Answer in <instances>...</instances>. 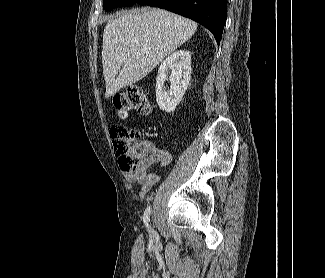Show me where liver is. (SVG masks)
Segmentation results:
<instances>
[{
	"label": "liver",
	"instance_id": "liver-1",
	"mask_svg": "<svg viewBox=\"0 0 325 278\" xmlns=\"http://www.w3.org/2000/svg\"><path fill=\"white\" fill-rule=\"evenodd\" d=\"M196 29L194 21L162 9H133L109 20L102 49L105 97L143 79Z\"/></svg>",
	"mask_w": 325,
	"mask_h": 278
}]
</instances>
